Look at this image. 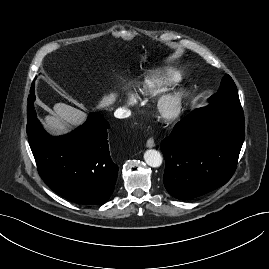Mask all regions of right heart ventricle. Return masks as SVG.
Wrapping results in <instances>:
<instances>
[{
	"instance_id": "e07e8e85",
	"label": "right heart ventricle",
	"mask_w": 269,
	"mask_h": 269,
	"mask_svg": "<svg viewBox=\"0 0 269 269\" xmlns=\"http://www.w3.org/2000/svg\"><path fill=\"white\" fill-rule=\"evenodd\" d=\"M179 81V77L172 73L152 74L149 75L143 82L139 92L148 94L160 91Z\"/></svg>"
}]
</instances>
